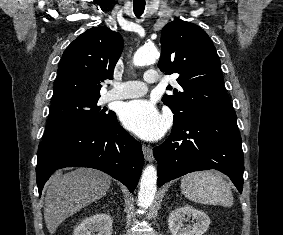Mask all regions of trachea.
Returning <instances> with one entry per match:
<instances>
[{"instance_id": "3493384b", "label": "trachea", "mask_w": 283, "mask_h": 235, "mask_svg": "<svg viewBox=\"0 0 283 235\" xmlns=\"http://www.w3.org/2000/svg\"><path fill=\"white\" fill-rule=\"evenodd\" d=\"M133 9H134V13L135 15L139 18L145 9V3L143 2H134L133 3Z\"/></svg>"}]
</instances>
